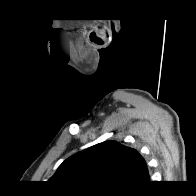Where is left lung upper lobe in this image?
<instances>
[{
    "instance_id": "obj_1",
    "label": "left lung upper lobe",
    "mask_w": 196,
    "mask_h": 196,
    "mask_svg": "<svg viewBox=\"0 0 196 196\" xmlns=\"http://www.w3.org/2000/svg\"><path fill=\"white\" fill-rule=\"evenodd\" d=\"M149 180L145 159L133 148L105 141L66 159L51 177L57 188L84 193H128Z\"/></svg>"
}]
</instances>
